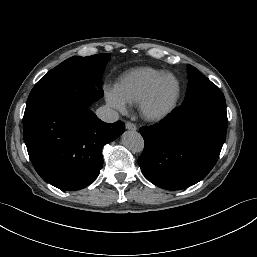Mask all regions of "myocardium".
Instances as JSON below:
<instances>
[{"label":"myocardium","instance_id":"obj_1","mask_svg":"<svg viewBox=\"0 0 257 257\" xmlns=\"http://www.w3.org/2000/svg\"><path fill=\"white\" fill-rule=\"evenodd\" d=\"M172 77L177 82V92L171 101V103L160 112H153L150 109V106L157 94V91L162 84V82L168 78ZM182 95V84L180 79L173 73H165L161 77H159L150 87L142 101L140 102V112L144 119L151 122H161L166 120L177 108L178 103L180 101Z\"/></svg>","mask_w":257,"mask_h":257}]
</instances>
